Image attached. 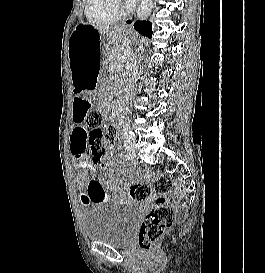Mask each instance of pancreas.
I'll return each mask as SVG.
<instances>
[{"mask_svg": "<svg viewBox=\"0 0 265 273\" xmlns=\"http://www.w3.org/2000/svg\"><path fill=\"white\" fill-rule=\"evenodd\" d=\"M128 52H129L128 48H121V47L112 48L107 55V59L105 60V65L107 70L114 71L122 67L125 61L123 60L122 57Z\"/></svg>", "mask_w": 265, "mask_h": 273, "instance_id": "cf45deb5", "label": "pancreas"}]
</instances>
